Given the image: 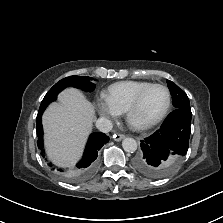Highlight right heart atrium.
I'll return each mask as SVG.
<instances>
[{
    "label": "right heart atrium",
    "mask_w": 223,
    "mask_h": 223,
    "mask_svg": "<svg viewBox=\"0 0 223 223\" xmlns=\"http://www.w3.org/2000/svg\"><path fill=\"white\" fill-rule=\"evenodd\" d=\"M97 107L100 114L106 118L114 119L120 114L106 97H101L97 100Z\"/></svg>",
    "instance_id": "d8ad5b80"
}]
</instances>
